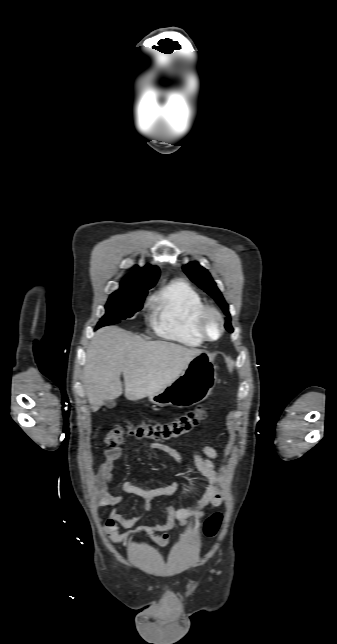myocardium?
Listing matches in <instances>:
<instances>
[{
	"label": "myocardium",
	"mask_w": 337,
	"mask_h": 644,
	"mask_svg": "<svg viewBox=\"0 0 337 644\" xmlns=\"http://www.w3.org/2000/svg\"><path fill=\"white\" fill-rule=\"evenodd\" d=\"M214 319L217 323L218 333L216 337H211L207 331V322ZM196 328L202 338L206 341H217L224 332V320L220 311L214 306L204 305L196 319Z\"/></svg>",
	"instance_id": "obj_1"
}]
</instances>
